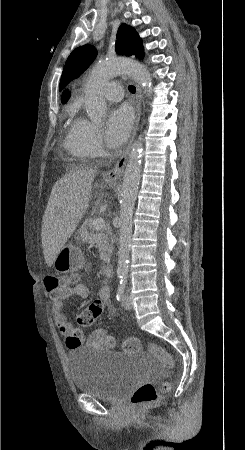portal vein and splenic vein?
<instances>
[{"mask_svg":"<svg viewBox=\"0 0 245 450\" xmlns=\"http://www.w3.org/2000/svg\"><path fill=\"white\" fill-rule=\"evenodd\" d=\"M106 227V222L103 218H96L93 220V228L95 230H101Z\"/></svg>","mask_w":245,"mask_h":450,"instance_id":"obj_1","label":"portal vein and splenic vein"}]
</instances>
